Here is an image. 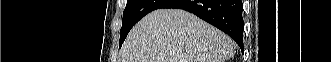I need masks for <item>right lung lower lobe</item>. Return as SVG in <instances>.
Wrapping results in <instances>:
<instances>
[{
	"instance_id": "98d812e1",
	"label": "right lung lower lobe",
	"mask_w": 331,
	"mask_h": 62,
	"mask_svg": "<svg viewBox=\"0 0 331 62\" xmlns=\"http://www.w3.org/2000/svg\"><path fill=\"white\" fill-rule=\"evenodd\" d=\"M163 8L183 9L195 14L232 37L243 50L241 0H172Z\"/></svg>"
}]
</instances>
